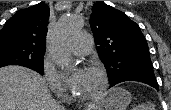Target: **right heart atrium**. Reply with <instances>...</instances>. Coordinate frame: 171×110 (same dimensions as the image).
<instances>
[{"label": "right heart atrium", "instance_id": "1", "mask_svg": "<svg viewBox=\"0 0 171 110\" xmlns=\"http://www.w3.org/2000/svg\"><path fill=\"white\" fill-rule=\"evenodd\" d=\"M43 76L56 96H62L65 93L61 76L48 58H45L43 61Z\"/></svg>", "mask_w": 171, "mask_h": 110}]
</instances>
